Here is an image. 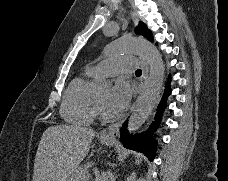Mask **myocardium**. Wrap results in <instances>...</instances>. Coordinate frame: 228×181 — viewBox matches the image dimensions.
Returning a JSON list of instances; mask_svg holds the SVG:
<instances>
[{
    "instance_id": "myocardium-1",
    "label": "myocardium",
    "mask_w": 228,
    "mask_h": 181,
    "mask_svg": "<svg viewBox=\"0 0 228 181\" xmlns=\"http://www.w3.org/2000/svg\"><path fill=\"white\" fill-rule=\"evenodd\" d=\"M99 104L101 107H103V102L102 101H99Z\"/></svg>"
}]
</instances>
